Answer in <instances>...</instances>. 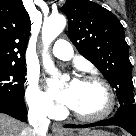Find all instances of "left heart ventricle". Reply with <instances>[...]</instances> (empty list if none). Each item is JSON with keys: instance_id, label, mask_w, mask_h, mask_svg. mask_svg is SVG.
<instances>
[{"instance_id": "1", "label": "left heart ventricle", "mask_w": 136, "mask_h": 136, "mask_svg": "<svg viewBox=\"0 0 136 136\" xmlns=\"http://www.w3.org/2000/svg\"><path fill=\"white\" fill-rule=\"evenodd\" d=\"M107 105L104 88L96 82H80L76 92V100L71 107L76 112L92 116L102 112Z\"/></svg>"}]
</instances>
